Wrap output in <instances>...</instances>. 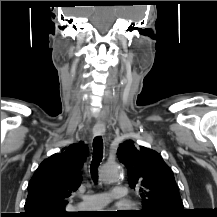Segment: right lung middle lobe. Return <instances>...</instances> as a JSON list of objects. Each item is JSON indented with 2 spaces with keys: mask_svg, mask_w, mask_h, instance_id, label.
Listing matches in <instances>:
<instances>
[{
  "mask_svg": "<svg viewBox=\"0 0 217 217\" xmlns=\"http://www.w3.org/2000/svg\"><path fill=\"white\" fill-rule=\"evenodd\" d=\"M54 217H73L72 215H57V216H54Z\"/></svg>",
  "mask_w": 217,
  "mask_h": 217,
  "instance_id": "dd1d6c3e",
  "label": "right lung middle lobe"
}]
</instances>
